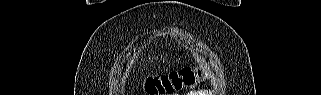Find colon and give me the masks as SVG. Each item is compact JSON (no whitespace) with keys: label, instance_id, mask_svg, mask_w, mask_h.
<instances>
[{"label":"colon","instance_id":"1","mask_svg":"<svg viewBox=\"0 0 321 95\" xmlns=\"http://www.w3.org/2000/svg\"><path fill=\"white\" fill-rule=\"evenodd\" d=\"M206 73L202 70L197 72H183L169 76L151 77L146 80L145 89L149 94H171L182 92L186 89L195 88Z\"/></svg>","mask_w":321,"mask_h":95}]
</instances>
